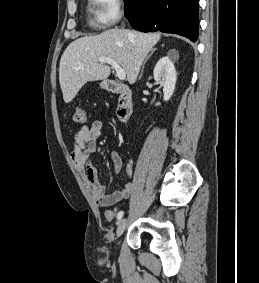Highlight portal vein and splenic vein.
<instances>
[{
    "mask_svg": "<svg viewBox=\"0 0 259 283\" xmlns=\"http://www.w3.org/2000/svg\"><path fill=\"white\" fill-rule=\"evenodd\" d=\"M100 63L110 64L113 69L116 71V75L120 80H124L126 78L125 70L113 59L107 57H101L98 59Z\"/></svg>",
    "mask_w": 259,
    "mask_h": 283,
    "instance_id": "1",
    "label": "portal vein and splenic vein"
}]
</instances>
